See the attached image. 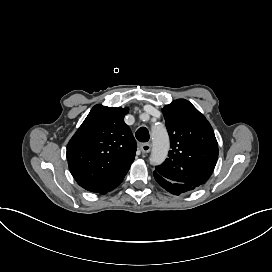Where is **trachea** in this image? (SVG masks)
Returning a JSON list of instances; mask_svg holds the SVG:
<instances>
[{
  "label": "trachea",
  "instance_id": "3493384b",
  "mask_svg": "<svg viewBox=\"0 0 272 272\" xmlns=\"http://www.w3.org/2000/svg\"><path fill=\"white\" fill-rule=\"evenodd\" d=\"M136 138L140 142H148L149 141V132L145 127H141L136 132Z\"/></svg>",
  "mask_w": 272,
  "mask_h": 272
}]
</instances>
